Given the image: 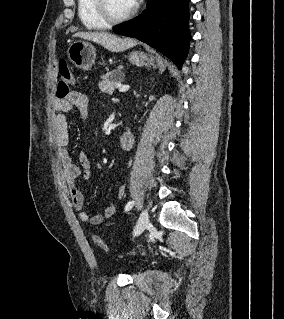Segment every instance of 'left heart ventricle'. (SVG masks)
I'll use <instances>...</instances> for the list:
<instances>
[{"instance_id": "obj_1", "label": "left heart ventricle", "mask_w": 284, "mask_h": 319, "mask_svg": "<svg viewBox=\"0 0 284 319\" xmlns=\"http://www.w3.org/2000/svg\"><path fill=\"white\" fill-rule=\"evenodd\" d=\"M108 7L112 15L122 16L128 13L132 6L129 0H107Z\"/></svg>"}]
</instances>
